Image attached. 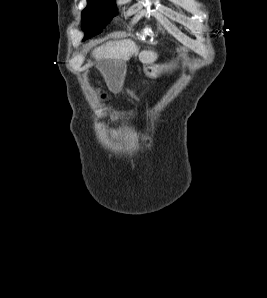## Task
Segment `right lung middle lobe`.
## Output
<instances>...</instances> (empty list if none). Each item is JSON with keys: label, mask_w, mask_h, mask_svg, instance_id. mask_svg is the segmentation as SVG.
Here are the masks:
<instances>
[{"label": "right lung middle lobe", "mask_w": 267, "mask_h": 298, "mask_svg": "<svg viewBox=\"0 0 267 298\" xmlns=\"http://www.w3.org/2000/svg\"><path fill=\"white\" fill-rule=\"evenodd\" d=\"M116 14L114 0H88V6L82 12L85 38L102 32L111 18Z\"/></svg>", "instance_id": "1"}]
</instances>
